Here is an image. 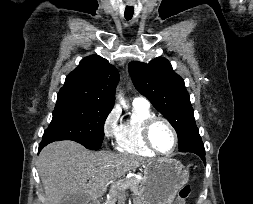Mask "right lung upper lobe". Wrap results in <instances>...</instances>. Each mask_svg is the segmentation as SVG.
<instances>
[{
    "mask_svg": "<svg viewBox=\"0 0 253 204\" xmlns=\"http://www.w3.org/2000/svg\"><path fill=\"white\" fill-rule=\"evenodd\" d=\"M118 70L106 59L92 55L83 58L67 75L60 92H70L87 100L113 108Z\"/></svg>",
    "mask_w": 253,
    "mask_h": 204,
    "instance_id": "1",
    "label": "right lung upper lobe"
}]
</instances>
